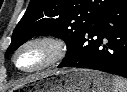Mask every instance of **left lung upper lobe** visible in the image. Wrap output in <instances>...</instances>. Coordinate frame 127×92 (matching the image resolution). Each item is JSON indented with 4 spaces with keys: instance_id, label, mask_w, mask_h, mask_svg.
<instances>
[{
    "instance_id": "left-lung-upper-lobe-1",
    "label": "left lung upper lobe",
    "mask_w": 127,
    "mask_h": 92,
    "mask_svg": "<svg viewBox=\"0 0 127 92\" xmlns=\"http://www.w3.org/2000/svg\"><path fill=\"white\" fill-rule=\"evenodd\" d=\"M123 0H31L12 34L8 56L34 36L53 35L69 52L81 35Z\"/></svg>"
}]
</instances>
